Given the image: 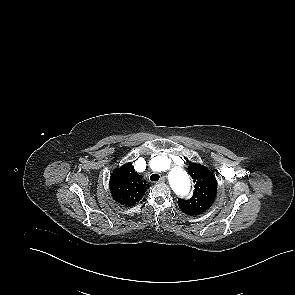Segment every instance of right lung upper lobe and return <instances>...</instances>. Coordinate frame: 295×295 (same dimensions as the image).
<instances>
[{"instance_id": "obj_1", "label": "right lung upper lobe", "mask_w": 295, "mask_h": 295, "mask_svg": "<svg viewBox=\"0 0 295 295\" xmlns=\"http://www.w3.org/2000/svg\"><path fill=\"white\" fill-rule=\"evenodd\" d=\"M141 178L142 176L135 172L131 163L115 170L109 182L113 198L127 206L136 204L149 188V185Z\"/></svg>"}]
</instances>
